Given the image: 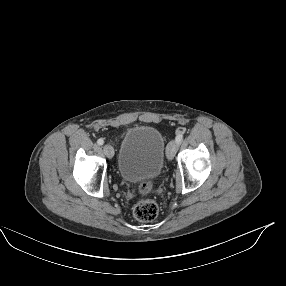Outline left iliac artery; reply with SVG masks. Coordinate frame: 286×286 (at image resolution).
Returning a JSON list of instances; mask_svg holds the SVG:
<instances>
[{"instance_id": "44dca946", "label": "left iliac artery", "mask_w": 286, "mask_h": 286, "mask_svg": "<svg viewBox=\"0 0 286 286\" xmlns=\"http://www.w3.org/2000/svg\"><path fill=\"white\" fill-rule=\"evenodd\" d=\"M175 139L176 142L179 144L183 139V133L182 132L178 133Z\"/></svg>"}]
</instances>
